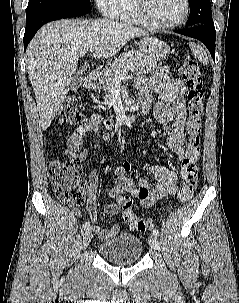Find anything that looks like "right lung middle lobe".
Instances as JSON below:
<instances>
[{"mask_svg":"<svg viewBox=\"0 0 239 303\" xmlns=\"http://www.w3.org/2000/svg\"><path fill=\"white\" fill-rule=\"evenodd\" d=\"M90 7V0H29L27 14L46 7Z\"/></svg>","mask_w":239,"mask_h":303,"instance_id":"dd1d6c3e","label":"right lung middle lobe"}]
</instances>
